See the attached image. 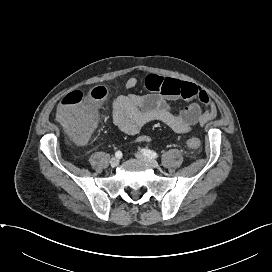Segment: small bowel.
<instances>
[{
	"instance_id": "1",
	"label": "small bowel",
	"mask_w": 272,
	"mask_h": 272,
	"mask_svg": "<svg viewBox=\"0 0 272 272\" xmlns=\"http://www.w3.org/2000/svg\"><path fill=\"white\" fill-rule=\"evenodd\" d=\"M138 83V77L128 78L125 82L126 93L113 102V122L125 134L135 135L143 126L153 121L162 122L176 133L183 134L188 133L196 124L204 125L217 116L213 100L193 83L149 74L145 77L144 84L150 93H130ZM175 100H184L188 104L183 109L174 111L169 102ZM139 141L147 142L149 137L141 136Z\"/></svg>"
}]
</instances>
